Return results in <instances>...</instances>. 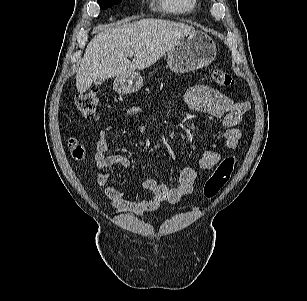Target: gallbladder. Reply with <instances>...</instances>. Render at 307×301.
<instances>
[{
    "mask_svg": "<svg viewBox=\"0 0 307 301\" xmlns=\"http://www.w3.org/2000/svg\"><path fill=\"white\" fill-rule=\"evenodd\" d=\"M104 81H105L104 78L98 77V78L94 81V83H95L96 85H101L102 83H104Z\"/></svg>",
    "mask_w": 307,
    "mask_h": 301,
    "instance_id": "gallbladder-1",
    "label": "gallbladder"
}]
</instances>
